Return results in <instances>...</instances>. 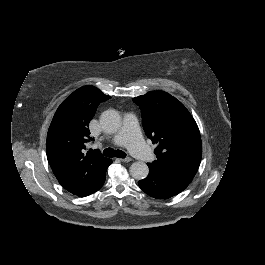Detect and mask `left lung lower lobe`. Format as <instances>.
I'll return each instance as SVG.
<instances>
[{
    "instance_id": "left-lung-lower-lobe-1",
    "label": "left lung lower lobe",
    "mask_w": 265,
    "mask_h": 265,
    "mask_svg": "<svg viewBox=\"0 0 265 265\" xmlns=\"http://www.w3.org/2000/svg\"><path fill=\"white\" fill-rule=\"evenodd\" d=\"M192 179L191 176L162 173L149 167V175L138 184L148 195L167 199L183 191Z\"/></svg>"
}]
</instances>
